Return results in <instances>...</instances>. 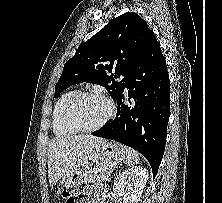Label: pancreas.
I'll return each mask as SVG.
<instances>
[{"mask_svg":"<svg viewBox=\"0 0 222 203\" xmlns=\"http://www.w3.org/2000/svg\"><path fill=\"white\" fill-rule=\"evenodd\" d=\"M112 161H102L93 168V170L88 174L85 182H97L106 181L111 176L113 171Z\"/></svg>","mask_w":222,"mask_h":203,"instance_id":"1","label":"pancreas"}]
</instances>
